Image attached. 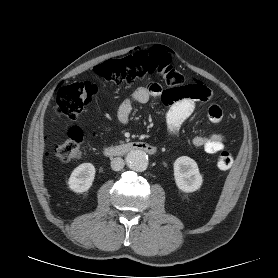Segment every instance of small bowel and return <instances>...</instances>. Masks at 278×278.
I'll use <instances>...</instances> for the list:
<instances>
[{"instance_id":"c3829d8e","label":"small bowel","mask_w":278,"mask_h":278,"mask_svg":"<svg viewBox=\"0 0 278 278\" xmlns=\"http://www.w3.org/2000/svg\"><path fill=\"white\" fill-rule=\"evenodd\" d=\"M203 94L201 98L181 97L177 99L170 98V91H164L160 84L150 83L145 87L135 89L129 98L122 101L118 107L117 116L120 122L126 124L132 111L133 104H145L151 98H161L168 103L170 108L167 113L166 126L170 135L178 133L182 124L192 115L195 110L197 100H207L212 96L211 91L204 85H201ZM208 118L213 123H218L223 118V111L217 104H211L208 108ZM226 137L221 133H214L206 136H195L191 143L195 147L202 148L205 152L214 154L224 148Z\"/></svg>"}]
</instances>
